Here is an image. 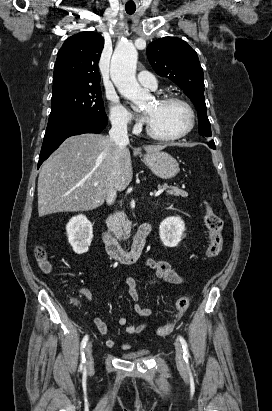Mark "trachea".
<instances>
[{
    "label": "trachea",
    "mask_w": 272,
    "mask_h": 411,
    "mask_svg": "<svg viewBox=\"0 0 272 411\" xmlns=\"http://www.w3.org/2000/svg\"><path fill=\"white\" fill-rule=\"evenodd\" d=\"M125 10L127 14L131 15L136 11V7L135 6H125Z\"/></svg>",
    "instance_id": "trachea-1"
}]
</instances>
